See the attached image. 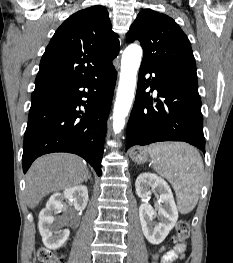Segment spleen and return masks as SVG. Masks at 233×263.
I'll use <instances>...</instances> for the list:
<instances>
[{"mask_svg":"<svg viewBox=\"0 0 233 263\" xmlns=\"http://www.w3.org/2000/svg\"><path fill=\"white\" fill-rule=\"evenodd\" d=\"M154 170L173 186L178 210L191 212L197 205L204 175L196 148L184 142H161L148 147Z\"/></svg>","mask_w":233,"mask_h":263,"instance_id":"1","label":"spleen"}]
</instances>
